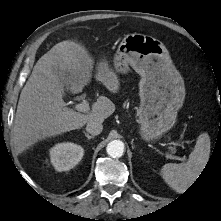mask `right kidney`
<instances>
[{"label": "right kidney", "mask_w": 221, "mask_h": 221, "mask_svg": "<svg viewBox=\"0 0 221 221\" xmlns=\"http://www.w3.org/2000/svg\"><path fill=\"white\" fill-rule=\"evenodd\" d=\"M83 155L84 149L71 142L58 143L50 149L51 163L59 172L72 169Z\"/></svg>", "instance_id": "ca27d5eb"}]
</instances>
